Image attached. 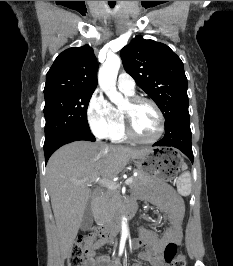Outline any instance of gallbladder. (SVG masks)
I'll return each mask as SVG.
<instances>
[{
  "instance_id": "obj_1",
  "label": "gallbladder",
  "mask_w": 233,
  "mask_h": 266,
  "mask_svg": "<svg viewBox=\"0 0 233 266\" xmlns=\"http://www.w3.org/2000/svg\"><path fill=\"white\" fill-rule=\"evenodd\" d=\"M93 224V215H92V211H91V206L90 203H88L86 205L85 211H84V215H83V219L81 222V229L83 231L88 230L92 227Z\"/></svg>"
}]
</instances>
